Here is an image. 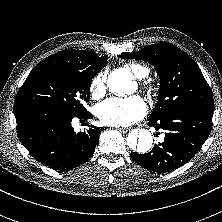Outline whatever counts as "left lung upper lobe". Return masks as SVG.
Listing matches in <instances>:
<instances>
[{
    "label": "left lung upper lobe",
    "mask_w": 222,
    "mask_h": 222,
    "mask_svg": "<svg viewBox=\"0 0 222 222\" xmlns=\"http://www.w3.org/2000/svg\"><path fill=\"white\" fill-rule=\"evenodd\" d=\"M119 57L147 61L154 65L160 76L159 99L149 118L159 119L186 107L214 109L211 89L199 66L173 44L156 43L136 53H123Z\"/></svg>",
    "instance_id": "obj_1"
}]
</instances>
